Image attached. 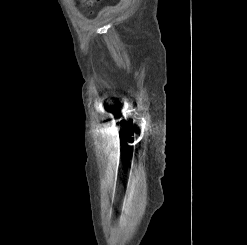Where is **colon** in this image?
<instances>
[{"label":"colon","mask_w":247,"mask_h":245,"mask_svg":"<svg viewBox=\"0 0 247 245\" xmlns=\"http://www.w3.org/2000/svg\"><path fill=\"white\" fill-rule=\"evenodd\" d=\"M81 1H82V3H84V4L90 5V4H92L95 0H81Z\"/></svg>","instance_id":"colon-1"}]
</instances>
